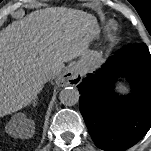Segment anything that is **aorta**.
Listing matches in <instances>:
<instances>
[{"label":"aorta","mask_w":151,"mask_h":151,"mask_svg":"<svg viewBox=\"0 0 151 151\" xmlns=\"http://www.w3.org/2000/svg\"><path fill=\"white\" fill-rule=\"evenodd\" d=\"M79 91L74 87H65L61 90L59 99L65 106H73L79 101Z\"/></svg>","instance_id":"762f6f07"}]
</instances>
